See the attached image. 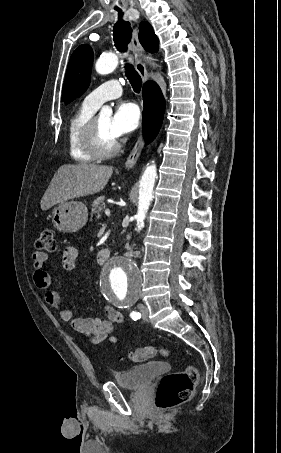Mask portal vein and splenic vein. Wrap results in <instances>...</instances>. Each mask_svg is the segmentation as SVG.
Listing matches in <instances>:
<instances>
[{
    "label": "portal vein and splenic vein",
    "mask_w": 281,
    "mask_h": 453,
    "mask_svg": "<svg viewBox=\"0 0 281 453\" xmlns=\"http://www.w3.org/2000/svg\"><path fill=\"white\" fill-rule=\"evenodd\" d=\"M105 214H108V216H109V214H110V210H109V208H106V210H105Z\"/></svg>",
    "instance_id": "1"
}]
</instances>
